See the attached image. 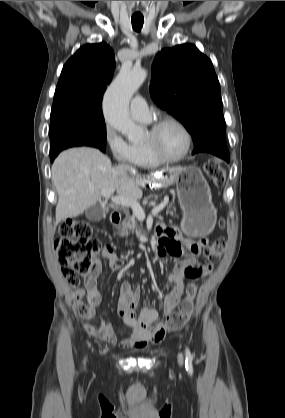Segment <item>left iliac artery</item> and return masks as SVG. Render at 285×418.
Wrapping results in <instances>:
<instances>
[{
  "label": "left iliac artery",
  "instance_id": "obj_1",
  "mask_svg": "<svg viewBox=\"0 0 285 418\" xmlns=\"http://www.w3.org/2000/svg\"><path fill=\"white\" fill-rule=\"evenodd\" d=\"M186 361H185V367H186V370L188 371V373L190 374V375H192V373H193V367H192V355H191V352H190V350L188 349V348H186Z\"/></svg>",
  "mask_w": 285,
  "mask_h": 418
}]
</instances>
